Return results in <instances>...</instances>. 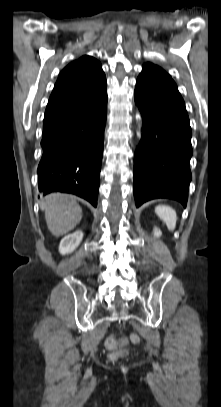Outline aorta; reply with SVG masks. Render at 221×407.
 Listing matches in <instances>:
<instances>
[{
  "label": "aorta",
  "instance_id": "obj_1",
  "mask_svg": "<svg viewBox=\"0 0 221 407\" xmlns=\"http://www.w3.org/2000/svg\"><path fill=\"white\" fill-rule=\"evenodd\" d=\"M136 119L140 122L141 121V116H140V114H137L136 115ZM138 136H140V133H138Z\"/></svg>",
  "mask_w": 221,
  "mask_h": 407
}]
</instances>
